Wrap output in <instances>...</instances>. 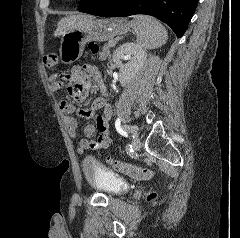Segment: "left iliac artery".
Wrapping results in <instances>:
<instances>
[{
	"label": "left iliac artery",
	"mask_w": 240,
	"mask_h": 238,
	"mask_svg": "<svg viewBox=\"0 0 240 238\" xmlns=\"http://www.w3.org/2000/svg\"><path fill=\"white\" fill-rule=\"evenodd\" d=\"M122 128V127H121ZM124 129H127V132H136L133 126H125Z\"/></svg>",
	"instance_id": "left-iliac-artery-1"
}]
</instances>
